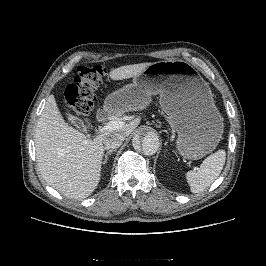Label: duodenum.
<instances>
[{"mask_svg":"<svg viewBox=\"0 0 266 266\" xmlns=\"http://www.w3.org/2000/svg\"><path fill=\"white\" fill-rule=\"evenodd\" d=\"M115 114H116V109L114 107L106 106L98 112L97 118L100 121H105L115 116Z\"/></svg>","mask_w":266,"mask_h":266,"instance_id":"duodenum-1","label":"duodenum"}]
</instances>
